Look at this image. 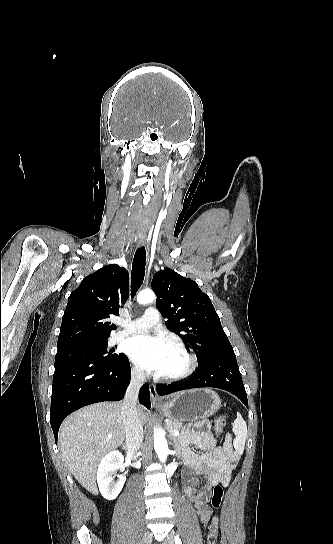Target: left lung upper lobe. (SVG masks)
<instances>
[{
  "label": "left lung upper lobe",
  "instance_id": "left-lung-upper-lobe-1",
  "mask_svg": "<svg viewBox=\"0 0 333 544\" xmlns=\"http://www.w3.org/2000/svg\"><path fill=\"white\" fill-rule=\"evenodd\" d=\"M152 288L167 328L193 348L198 364L212 357H236L209 296L195 281L164 268L154 275Z\"/></svg>",
  "mask_w": 333,
  "mask_h": 544
}]
</instances>
